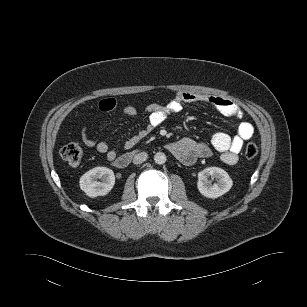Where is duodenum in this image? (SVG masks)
<instances>
[{
	"instance_id": "410a0bca",
	"label": "duodenum",
	"mask_w": 307,
	"mask_h": 307,
	"mask_svg": "<svg viewBox=\"0 0 307 307\" xmlns=\"http://www.w3.org/2000/svg\"><path fill=\"white\" fill-rule=\"evenodd\" d=\"M135 152H127V153H124L122 155H120L116 161L114 162V165L118 168H125L127 167L131 160H132V157L134 156Z\"/></svg>"
}]
</instances>
